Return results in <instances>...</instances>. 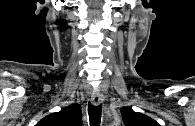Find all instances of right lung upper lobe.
<instances>
[{"instance_id":"obj_1","label":"right lung upper lobe","mask_w":195,"mask_h":126,"mask_svg":"<svg viewBox=\"0 0 195 126\" xmlns=\"http://www.w3.org/2000/svg\"><path fill=\"white\" fill-rule=\"evenodd\" d=\"M81 106L71 104L59 112L51 113L42 118L36 126H81Z\"/></svg>"}]
</instances>
